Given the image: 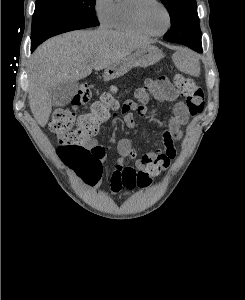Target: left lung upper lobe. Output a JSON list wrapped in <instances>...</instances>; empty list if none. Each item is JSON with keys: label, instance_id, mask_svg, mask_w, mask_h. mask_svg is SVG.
I'll list each match as a JSON object with an SVG mask.
<instances>
[{"label": "left lung upper lobe", "instance_id": "obj_1", "mask_svg": "<svg viewBox=\"0 0 245 300\" xmlns=\"http://www.w3.org/2000/svg\"><path fill=\"white\" fill-rule=\"evenodd\" d=\"M171 18V28L164 35L166 41L189 38L201 34L196 0H161Z\"/></svg>", "mask_w": 245, "mask_h": 300}]
</instances>
